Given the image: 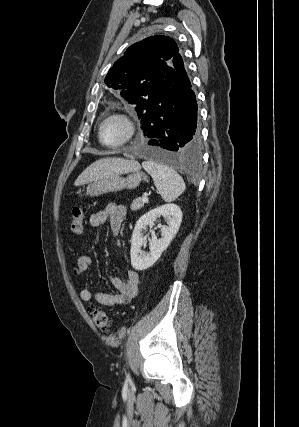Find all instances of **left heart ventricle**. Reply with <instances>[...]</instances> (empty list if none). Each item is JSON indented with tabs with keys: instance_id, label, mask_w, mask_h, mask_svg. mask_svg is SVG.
<instances>
[{
	"instance_id": "b2bd125f",
	"label": "left heart ventricle",
	"mask_w": 299,
	"mask_h": 427,
	"mask_svg": "<svg viewBox=\"0 0 299 427\" xmlns=\"http://www.w3.org/2000/svg\"><path fill=\"white\" fill-rule=\"evenodd\" d=\"M126 129V125L121 119L112 118L106 121L102 127V140L108 144H115L123 139Z\"/></svg>"
}]
</instances>
